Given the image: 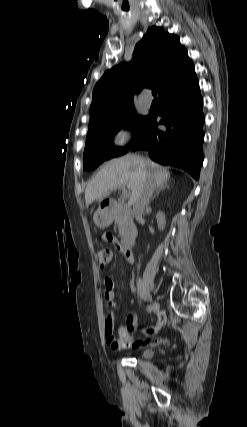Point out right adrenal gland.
I'll list each match as a JSON object with an SVG mask.
<instances>
[{"mask_svg":"<svg viewBox=\"0 0 247 427\" xmlns=\"http://www.w3.org/2000/svg\"><path fill=\"white\" fill-rule=\"evenodd\" d=\"M169 187V184L166 182V183H164V184H162V185H160L159 187H158V189H157V191H156V193L154 194V196L151 198V200H154L155 198H156V196H158L159 195V193H160V191H162V190H164L165 188H168Z\"/></svg>","mask_w":247,"mask_h":427,"instance_id":"obj_1","label":"right adrenal gland"}]
</instances>
